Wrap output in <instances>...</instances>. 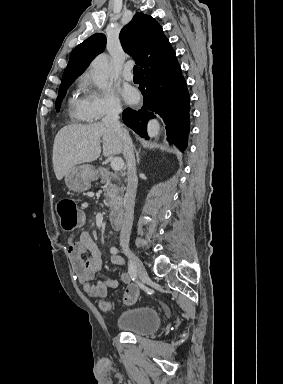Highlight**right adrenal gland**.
Returning <instances> with one entry per match:
<instances>
[{
  "label": "right adrenal gland",
  "instance_id": "obj_1",
  "mask_svg": "<svg viewBox=\"0 0 283 384\" xmlns=\"http://www.w3.org/2000/svg\"><path fill=\"white\" fill-rule=\"evenodd\" d=\"M133 150H134V152H135V154H136L137 164H140V160H139L140 150H138V152H137L135 146H133Z\"/></svg>",
  "mask_w": 283,
  "mask_h": 384
}]
</instances>
